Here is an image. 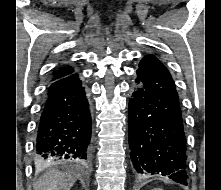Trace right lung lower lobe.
<instances>
[{
	"mask_svg": "<svg viewBox=\"0 0 221 190\" xmlns=\"http://www.w3.org/2000/svg\"><path fill=\"white\" fill-rule=\"evenodd\" d=\"M35 154L43 163L84 166L91 153V113L77 73L47 88L36 127Z\"/></svg>",
	"mask_w": 221,
	"mask_h": 190,
	"instance_id": "1",
	"label": "right lung lower lobe"
}]
</instances>
